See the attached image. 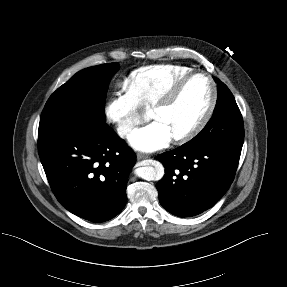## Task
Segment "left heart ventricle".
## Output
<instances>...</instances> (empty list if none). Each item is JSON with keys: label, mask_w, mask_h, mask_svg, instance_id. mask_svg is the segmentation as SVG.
I'll use <instances>...</instances> for the list:
<instances>
[{"label": "left heart ventricle", "mask_w": 287, "mask_h": 287, "mask_svg": "<svg viewBox=\"0 0 287 287\" xmlns=\"http://www.w3.org/2000/svg\"><path fill=\"white\" fill-rule=\"evenodd\" d=\"M211 98L209 82L203 77L188 81L167 108L151 112L150 118L162 122L172 136L190 129L204 114Z\"/></svg>", "instance_id": "obj_1"}]
</instances>
